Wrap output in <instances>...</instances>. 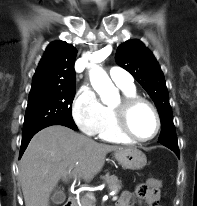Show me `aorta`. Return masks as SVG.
I'll use <instances>...</instances> for the list:
<instances>
[{"label": "aorta", "instance_id": "obj_1", "mask_svg": "<svg viewBox=\"0 0 197 206\" xmlns=\"http://www.w3.org/2000/svg\"><path fill=\"white\" fill-rule=\"evenodd\" d=\"M90 67L89 76L92 87L100 95L103 103L108 104L112 102L117 90L112 84L111 79L101 67L95 64Z\"/></svg>", "mask_w": 197, "mask_h": 206}]
</instances>
